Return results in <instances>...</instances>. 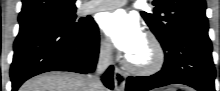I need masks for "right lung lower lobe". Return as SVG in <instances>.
<instances>
[{
    "instance_id": "98d812e1",
    "label": "right lung lower lobe",
    "mask_w": 220,
    "mask_h": 91,
    "mask_svg": "<svg viewBox=\"0 0 220 91\" xmlns=\"http://www.w3.org/2000/svg\"><path fill=\"white\" fill-rule=\"evenodd\" d=\"M99 40V29L95 22L79 32L47 20L20 23L10 69L12 91H16L27 79L48 71L82 74L94 71ZM102 81L106 87L113 89V66L107 69Z\"/></svg>"
}]
</instances>
